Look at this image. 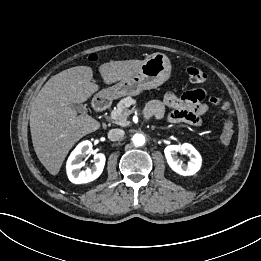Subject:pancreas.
<instances>
[{
	"label": "pancreas",
	"mask_w": 261,
	"mask_h": 261,
	"mask_svg": "<svg viewBox=\"0 0 261 261\" xmlns=\"http://www.w3.org/2000/svg\"><path fill=\"white\" fill-rule=\"evenodd\" d=\"M136 100L133 98L126 97L123 98L118 104L117 108L111 112L112 119L115 120L116 124L120 126L127 125V117L130 115L131 111L128 109L131 105L135 104Z\"/></svg>",
	"instance_id": "cf45deb5"
}]
</instances>
